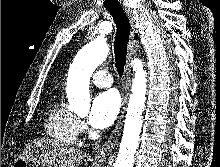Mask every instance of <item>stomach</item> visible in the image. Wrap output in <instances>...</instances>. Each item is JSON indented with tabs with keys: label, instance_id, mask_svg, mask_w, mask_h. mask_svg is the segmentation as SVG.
Returning a JSON list of instances; mask_svg holds the SVG:
<instances>
[{
	"label": "stomach",
	"instance_id": "stomach-1",
	"mask_svg": "<svg viewBox=\"0 0 220 167\" xmlns=\"http://www.w3.org/2000/svg\"><path fill=\"white\" fill-rule=\"evenodd\" d=\"M12 167H40L38 165L33 164L32 162L29 161L28 158L24 156H19Z\"/></svg>",
	"mask_w": 220,
	"mask_h": 167
}]
</instances>
